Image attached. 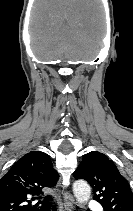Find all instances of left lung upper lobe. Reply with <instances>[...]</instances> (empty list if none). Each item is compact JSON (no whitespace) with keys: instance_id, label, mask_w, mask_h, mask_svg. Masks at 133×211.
<instances>
[{"instance_id":"obj_1","label":"left lung upper lobe","mask_w":133,"mask_h":211,"mask_svg":"<svg viewBox=\"0 0 133 211\" xmlns=\"http://www.w3.org/2000/svg\"><path fill=\"white\" fill-rule=\"evenodd\" d=\"M74 177L88 181L95 194L94 200L105 211H133L130 186L106 155L97 151L87 153L74 172Z\"/></svg>"}]
</instances>
